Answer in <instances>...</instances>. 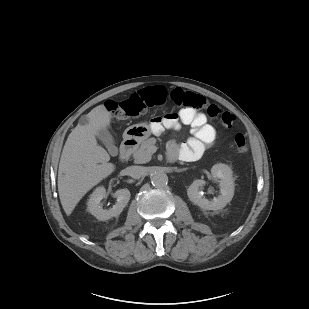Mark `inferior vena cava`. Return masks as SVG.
Instances as JSON below:
<instances>
[{
  "label": "inferior vena cava",
  "instance_id": "602c4592",
  "mask_svg": "<svg viewBox=\"0 0 309 309\" xmlns=\"http://www.w3.org/2000/svg\"><path fill=\"white\" fill-rule=\"evenodd\" d=\"M145 173V170L142 166H130L126 168V174L135 178L139 179Z\"/></svg>",
  "mask_w": 309,
  "mask_h": 309
}]
</instances>
